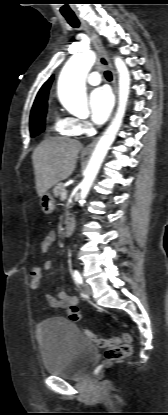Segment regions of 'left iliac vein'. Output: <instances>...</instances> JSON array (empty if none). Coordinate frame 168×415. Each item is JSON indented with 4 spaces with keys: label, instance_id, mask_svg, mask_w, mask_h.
Segmentation results:
<instances>
[{
    "label": "left iliac vein",
    "instance_id": "1",
    "mask_svg": "<svg viewBox=\"0 0 168 415\" xmlns=\"http://www.w3.org/2000/svg\"><path fill=\"white\" fill-rule=\"evenodd\" d=\"M83 290H84V293L87 296H91L92 295V288L88 284H84L83 285Z\"/></svg>",
    "mask_w": 168,
    "mask_h": 415
}]
</instances>
